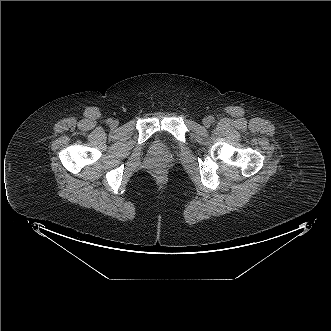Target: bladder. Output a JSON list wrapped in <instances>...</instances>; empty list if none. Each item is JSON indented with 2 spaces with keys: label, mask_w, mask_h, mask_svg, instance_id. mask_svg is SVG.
Here are the masks:
<instances>
[{
  "label": "bladder",
  "mask_w": 331,
  "mask_h": 331,
  "mask_svg": "<svg viewBox=\"0 0 331 331\" xmlns=\"http://www.w3.org/2000/svg\"><path fill=\"white\" fill-rule=\"evenodd\" d=\"M168 144L161 138H156L152 144V149L154 152H163L168 149Z\"/></svg>",
  "instance_id": "31cf9c89"
}]
</instances>
